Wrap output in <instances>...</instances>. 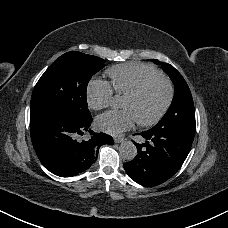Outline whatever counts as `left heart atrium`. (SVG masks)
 Instances as JSON below:
<instances>
[{
  "label": "left heart atrium",
  "mask_w": 228,
  "mask_h": 228,
  "mask_svg": "<svg viewBox=\"0 0 228 228\" xmlns=\"http://www.w3.org/2000/svg\"><path fill=\"white\" fill-rule=\"evenodd\" d=\"M134 119V114L130 110L125 109L121 112H108L100 116L98 121L104 131L110 134H118L130 127Z\"/></svg>",
  "instance_id": "obj_1"
}]
</instances>
